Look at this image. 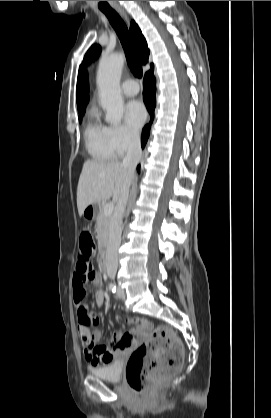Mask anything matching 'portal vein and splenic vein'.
Returning a JSON list of instances; mask_svg holds the SVG:
<instances>
[{"instance_id":"portal-vein-and-splenic-vein-1","label":"portal vein and splenic vein","mask_w":271,"mask_h":418,"mask_svg":"<svg viewBox=\"0 0 271 418\" xmlns=\"http://www.w3.org/2000/svg\"><path fill=\"white\" fill-rule=\"evenodd\" d=\"M113 209H114V204L113 203H107L104 206V214L107 215V216H110L113 212Z\"/></svg>"}]
</instances>
